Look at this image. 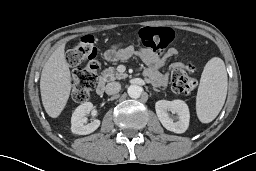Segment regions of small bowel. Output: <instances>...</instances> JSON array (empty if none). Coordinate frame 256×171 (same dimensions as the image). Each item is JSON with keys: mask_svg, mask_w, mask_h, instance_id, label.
<instances>
[{"mask_svg": "<svg viewBox=\"0 0 256 171\" xmlns=\"http://www.w3.org/2000/svg\"><path fill=\"white\" fill-rule=\"evenodd\" d=\"M134 53L138 54L147 64V75L151 78L152 82L156 86H164L167 82V77L165 74L161 73L159 69L165 64L167 59L176 56L178 51L175 48H170L164 56H158L150 50H135L132 46L128 45L120 50H108L105 52L104 56L108 61H116L119 59H127Z\"/></svg>", "mask_w": 256, "mask_h": 171, "instance_id": "c3829d8e", "label": "small bowel"}]
</instances>
